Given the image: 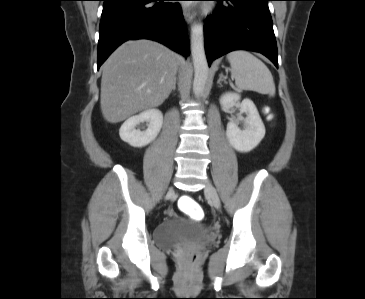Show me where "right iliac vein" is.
Returning <instances> with one entry per match:
<instances>
[{
    "mask_svg": "<svg viewBox=\"0 0 365 299\" xmlns=\"http://www.w3.org/2000/svg\"><path fill=\"white\" fill-rule=\"evenodd\" d=\"M173 191V189H170V192H172Z\"/></svg>",
    "mask_w": 365,
    "mask_h": 299,
    "instance_id": "obj_1",
    "label": "right iliac vein"
}]
</instances>
